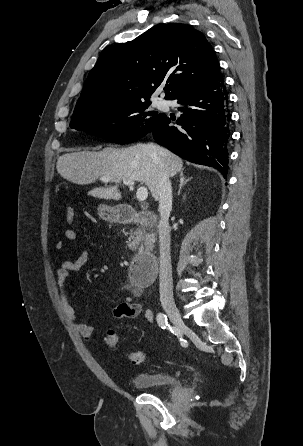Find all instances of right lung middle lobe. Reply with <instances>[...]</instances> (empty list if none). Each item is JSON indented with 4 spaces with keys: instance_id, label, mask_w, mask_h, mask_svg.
<instances>
[{
    "instance_id": "1",
    "label": "right lung middle lobe",
    "mask_w": 303,
    "mask_h": 446,
    "mask_svg": "<svg viewBox=\"0 0 303 446\" xmlns=\"http://www.w3.org/2000/svg\"><path fill=\"white\" fill-rule=\"evenodd\" d=\"M149 100L109 105L72 116L70 127L91 132L117 144L137 141L149 133L164 114L145 112Z\"/></svg>"
}]
</instances>
